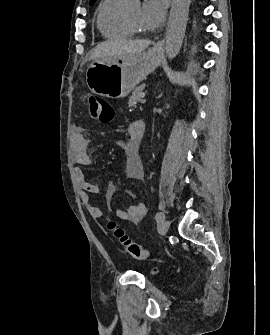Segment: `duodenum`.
I'll use <instances>...</instances> for the list:
<instances>
[{
	"instance_id": "410a0bca",
	"label": "duodenum",
	"mask_w": 270,
	"mask_h": 335,
	"mask_svg": "<svg viewBox=\"0 0 270 335\" xmlns=\"http://www.w3.org/2000/svg\"><path fill=\"white\" fill-rule=\"evenodd\" d=\"M145 125L144 122L138 121L137 128H136V135L138 138H142L144 135Z\"/></svg>"
}]
</instances>
